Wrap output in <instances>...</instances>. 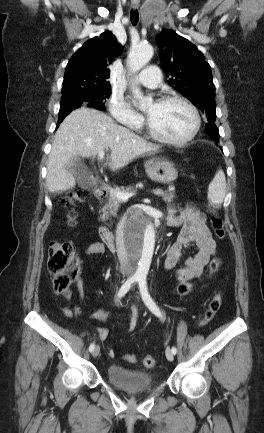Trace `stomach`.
<instances>
[{"instance_id": "obj_1", "label": "stomach", "mask_w": 264, "mask_h": 433, "mask_svg": "<svg viewBox=\"0 0 264 433\" xmlns=\"http://www.w3.org/2000/svg\"><path fill=\"white\" fill-rule=\"evenodd\" d=\"M147 176L156 182L169 184L178 177L175 165L166 159H149L144 163Z\"/></svg>"}]
</instances>
